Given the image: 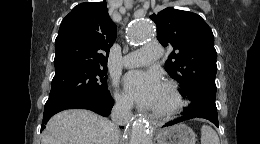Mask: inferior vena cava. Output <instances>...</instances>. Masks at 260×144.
<instances>
[{
	"mask_svg": "<svg viewBox=\"0 0 260 144\" xmlns=\"http://www.w3.org/2000/svg\"><path fill=\"white\" fill-rule=\"evenodd\" d=\"M133 103L124 98H117L111 111L112 126L119 137V126L126 125L132 116ZM118 144V142H116Z\"/></svg>",
	"mask_w": 260,
	"mask_h": 144,
	"instance_id": "inferior-vena-cava-1",
	"label": "inferior vena cava"
}]
</instances>
